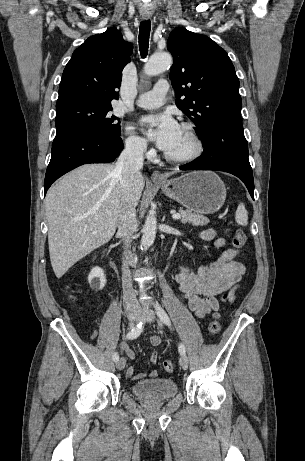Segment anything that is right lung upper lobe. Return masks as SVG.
I'll return each mask as SVG.
<instances>
[{
    "instance_id": "1",
    "label": "right lung upper lobe",
    "mask_w": 305,
    "mask_h": 461,
    "mask_svg": "<svg viewBox=\"0 0 305 461\" xmlns=\"http://www.w3.org/2000/svg\"><path fill=\"white\" fill-rule=\"evenodd\" d=\"M132 44L116 28L89 37L67 63L56 107L78 102L110 103L118 99L123 68L130 62Z\"/></svg>"
}]
</instances>
